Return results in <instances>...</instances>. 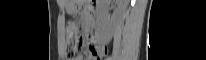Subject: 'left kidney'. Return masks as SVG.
I'll return each mask as SVG.
<instances>
[{
  "mask_svg": "<svg viewBox=\"0 0 206 60\" xmlns=\"http://www.w3.org/2000/svg\"><path fill=\"white\" fill-rule=\"evenodd\" d=\"M118 6L111 17L108 16L107 4L109 0H101L97 8L98 30L101 38L108 42L113 35V31L119 15L124 11L126 6L125 0H117Z\"/></svg>",
  "mask_w": 206,
  "mask_h": 60,
  "instance_id": "obj_1",
  "label": "left kidney"
}]
</instances>
